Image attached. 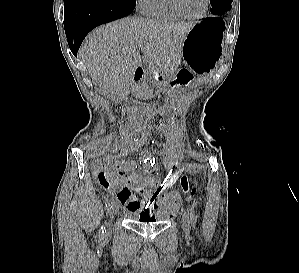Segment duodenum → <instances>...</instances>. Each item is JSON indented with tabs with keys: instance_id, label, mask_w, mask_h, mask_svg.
Instances as JSON below:
<instances>
[{
	"instance_id": "obj_1",
	"label": "duodenum",
	"mask_w": 299,
	"mask_h": 273,
	"mask_svg": "<svg viewBox=\"0 0 299 273\" xmlns=\"http://www.w3.org/2000/svg\"><path fill=\"white\" fill-rule=\"evenodd\" d=\"M145 75H146L145 70L142 67H137L133 73V80L135 82H139L144 78Z\"/></svg>"
}]
</instances>
